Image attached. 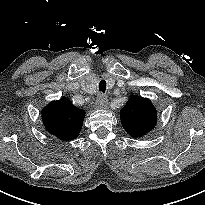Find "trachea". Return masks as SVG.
Segmentation results:
<instances>
[{"label": "trachea", "mask_w": 205, "mask_h": 205, "mask_svg": "<svg viewBox=\"0 0 205 205\" xmlns=\"http://www.w3.org/2000/svg\"><path fill=\"white\" fill-rule=\"evenodd\" d=\"M98 89L100 92L104 93L106 90V81L101 79L98 84Z\"/></svg>", "instance_id": "obj_1"}]
</instances>
